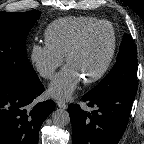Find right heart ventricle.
Instances as JSON below:
<instances>
[{"mask_svg":"<svg viewBox=\"0 0 144 144\" xmlns=\"http://www.w3.org/2000/svg\"><path fill=\"white\" fill-rule=\"evenodd\" d=\"M98 21L100 20L88 16L59 18L47 26L44 33L46 44L64 57L75 37L84 28Z\"/></svg>","mask_w":144,"mask_h":144,"instance_id":"e07e8e85","label":"right heart ventricle"}]
</instances>
